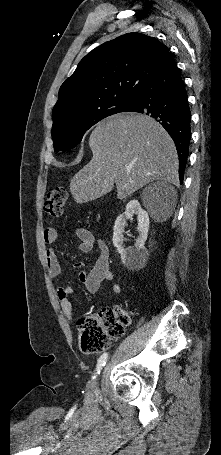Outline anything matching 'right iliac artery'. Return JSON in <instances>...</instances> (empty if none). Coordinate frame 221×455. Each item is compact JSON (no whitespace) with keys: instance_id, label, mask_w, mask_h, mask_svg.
<instances>
[{"instance_id":"1","label":"right iliac artery","mask_w":221,"mask_h":455,"mask_svg":"<svg viewBox=\"0 0 221 455\" xmlns=\"http://www.w3.org/2000/svg\"><path fill=\"white\" fill-rule=\"evenodd\" d=\"M107 358H108V353H103L101 355V357L98 359V364H97V368H96V374H99L101 369L105 366ZM95 377H96V375L92 376L93 379Z\"/></svg>"}]
</instances>
